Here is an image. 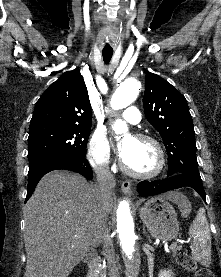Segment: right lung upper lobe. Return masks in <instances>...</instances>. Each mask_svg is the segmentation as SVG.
Returning <instances> with one entry per match:
<instances>
[{
    "label": "right lung upper lobe",
    "instance_id": "cb5924a9",
    "mask_svg": "<svg viewBox=\"0 0 221 277\" xmlns=\"http://www.w3.org/2000/svg\"><path fill=\"white\" fill-rule=\"evenodd\" d=\"M46 124H92L87 88L78 69L63 73L37 101L30 126Z\"/></svg>",
    "mask_w": 221,
    "mask_h": 277
}]
</instances>
